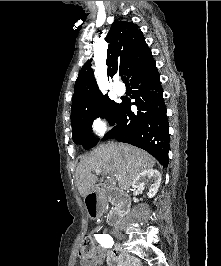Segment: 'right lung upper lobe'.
Listing matches in <instances>:
<instances>
[{
    "mask_svg": "<svg viewBox=\"0 0 221 266\" xmlns=\"http://www.w3.org/2000/svg\"><path fill=\"white\" fill-rule=\"evenodd\" d=\"M106 41L109 43L106 64L110 77L120 73L130 78L133 72L153 60L143 33L132 22L115 20ZM91 61L92 59L86 62L75 82L71 118L90 111L103 97L95 80Z\"/></svg>",
    "mask_w": 221,
    "mask_h": 266,
    "instance_id": "cb5924a9",
    "label": "right lung upper lobe"
}]
</instances>
